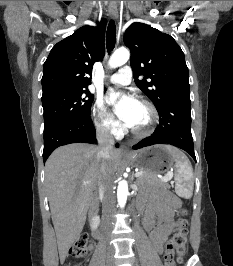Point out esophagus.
I'll list each match as a JSON object with an SVG mask.
<instances>
[{
    "label": "esophagus",
    "instance_id": "esophagus-1",
    "mask_svg": "<svg viewBox=\"0 0 233 266\" xmlns=\"http://www.w3.org/2000/svg\"><path fill=\"white\" fill-rule=\"evenodd\" d=\"M109 14L115 21L118 20V10L114 2H111L109 5ZM120 152L123 154H129V149L126 145H121Z\"/></svg>",
    "mask_w": 233,
    "mask_h": 266
}]
</instances>
